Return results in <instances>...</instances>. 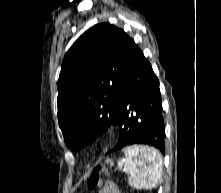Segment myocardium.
<instances>
[{
	"instance_id": "1",
	"label": "myocardium",
	"mask_w": 221,
	"mask_h": 193,
	"mask_svg": "<svg viewBox=\"0 0 221 193\" xmlns=\"http://www.w3.org/2000/svg\"><path fill=\"white\" fill-rule=\"evenodd\" d=\"M112 140V136H111V134H106L105 136H104V142L105 143H109L110 141Z\"/></svg>"
}]
</instances>
